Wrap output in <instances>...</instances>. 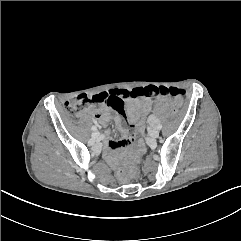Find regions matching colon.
<instances>
[{"mask_svg":"<svg viewBox=\"0 0 241 241\" xmlns=\"http://www.w3.org/2000/svg\"><path fill=\"white\" fill-rule=\"evenodd\" d=\"M184 95V92L178 88H167L157 86H147L144 88H125L124 90L116 91L112 90L109 93H99L95 95L80 94L65 103V111L70 117H78L80 113L88 106L94 105H109L114 108L118 113L123 112V100L133 97H147L155 98L158 96H172L174 98H180ZM172 115L176 116L181 113L180 105L171 106ZM171 123L175 122L174 118L170 119ZM120 178L123 175L120 174Z\"/></svg>","mask_w":241,"mask_h":241,"instance_id":"obj_1","label":"colon"}]
</instances>
